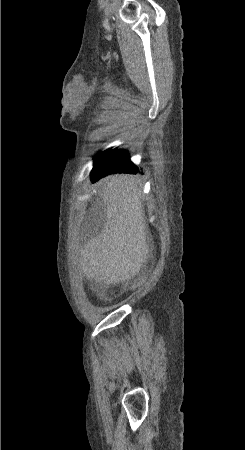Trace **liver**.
<instances>
[{"label":"liver","instance_id":"liver-1","mask_svg":"<svg viewBox=\"0 0 245 450\" xmlns=\"http://www.w3.org/2000/svg\"><path fill=\"white\" fill-rule=\"evenodd\" d=\"M102 231L80 250V268L89 279L116 284L137 275L148 256V226L141 203L142 189L131 175L101 181Z\"/></svg>","mask_w":245,"mask_h":450}]
</instances>
